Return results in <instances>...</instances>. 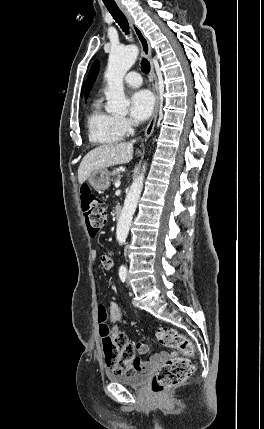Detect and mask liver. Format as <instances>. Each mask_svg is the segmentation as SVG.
Wrapping results in <instances>:
<instances>
[{
	"instance_id": "1",
	"label": "liver",
	"mask_w": 264,
	"mask_h": 429,
	"mask_svg": "<svg viewBox=\"0 0 264 429\" xmlns=\"http://www.w3.org/2000/svg\"><path fill=\"white\" fill-rule=\"evenodd\" d=\"M138 154L140 152L138 151ZM133 158V143L119 142L101 145L82 159L78 168V181L84 183L92 172L116 164H125Z\"/></svg>"
}]
</instances>
